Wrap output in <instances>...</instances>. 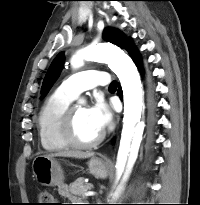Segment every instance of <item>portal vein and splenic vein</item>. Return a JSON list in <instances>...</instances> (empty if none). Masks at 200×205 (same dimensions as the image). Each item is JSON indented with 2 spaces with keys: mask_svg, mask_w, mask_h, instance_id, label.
Returning <instances> with one entry per match:
<instances>
[{
  "mask_svg": "<svg viewBox=\"0 0 200 205\" xmlns=\"http://www.w3.org/2000/svg\"><path fill=\"white\" fill-rule=\"evenodd\" d=\"M96 193L94 191H87L85 196H94Z\"/></svg>",
  "mask_w": 200,
  "mask_h": 205,
  "instance_id": "portal-vein-and-splenic-vein-1",
  "label": "portal vein and splenic vein"
}]
</instances>
